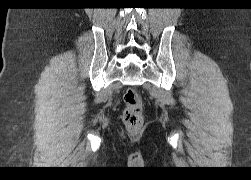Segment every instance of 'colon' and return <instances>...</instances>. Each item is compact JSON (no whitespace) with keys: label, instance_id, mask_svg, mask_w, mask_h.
Here are the masks:
<instances>
[{"label":"colon","instance_id":"1","mask_svg":"<svg viewBox=\"0 0 251 180\" xmlns=\"http://www.w3.org/2000/svg\"><path fill=\"white\" fill-rule=\"evenodd\" d=\"M125 107L122 114L123 122L131 131H137L143 124V101L134 89H128L124 94Z\"/></svg>","mask_w":251,"mask_h":180}]
</instances>
